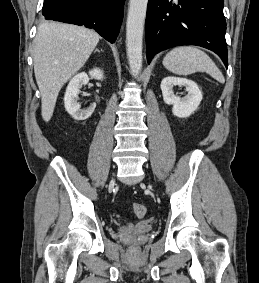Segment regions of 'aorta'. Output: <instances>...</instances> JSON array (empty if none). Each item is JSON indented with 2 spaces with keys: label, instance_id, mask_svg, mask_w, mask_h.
I'll return each instance as SVG.
<instances>
[{
  "label": "aorta",
  "instance_id": "1",
  "mask_svg": "<svg viewBox=\"0 0 259 283\" xmlns=\"http://www.w3.org/2000/svg\"><path fill=\"white\" fill-rule=\"evenodd\" d=\"M148 0H130L126 23V50L132 76L142 69V41Z\"/></svg>",
  "mask_w": 259,
  "mask_h": 283
}]
</instances>
